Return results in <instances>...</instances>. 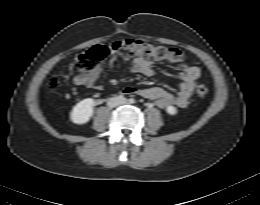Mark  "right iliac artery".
<instances>
[{
    "label": "right iliac artery",
    "mask_w": 260,
    "mask_h": 205,
    "mask_svg": "<svg viewBox=\"0 0 260 205\" xmlns=\"http://www.w3.org/2000/svg\"><path fill=\"white\" fill-rule=\"evenodd\" d=\"M117 99H118V100H123V99H125V98H124L123 95H118V96H117Z\"/></svg>",
    "instance_id": "obj_1"
}]
</instances>
